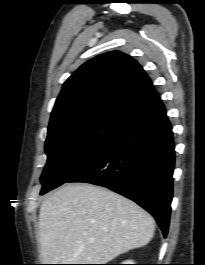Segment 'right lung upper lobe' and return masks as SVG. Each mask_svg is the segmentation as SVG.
<instances>
[{"label": "right lung upper lobe", "instance_id": "1", "mask_svg": "<svg viewBox=\"0 0 205 265\" xmlns=\"http://www.w3.org/2000/svg\"><path fill=\"white\" fill-rule=\"evenodd\" d=\"M158 100L136 60L120 51L107 52L85 62L63 84L48 133L99 122L124 125Z\"/></svg>", "mask_w": 205, "mask_h": 265}]
</instances>
